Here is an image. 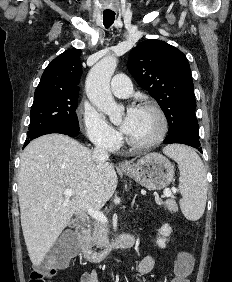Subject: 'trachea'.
Wrapping results in <instances>:
<instances>
[{"label": "trachea", "mask_w": 232, "mask_h": 282, "mask_svg": "<svg viewBox=\"0 0 232 282\" xmlns=\"http://www.w3.org/2000/svg\"><path fill=\"white\" fill-rule=\"evenodd\" d=\"M115 20L114 12H104L103 13V24L106 28H109Z\"/></svg>", "instance_id": "obj_1"}]
</instances>
